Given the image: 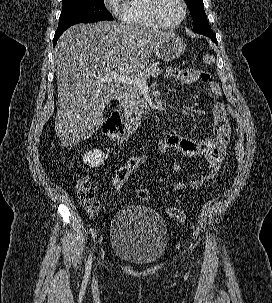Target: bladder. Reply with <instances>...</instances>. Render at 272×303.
I'll return each instance as SVG.
<instances>
[{
	"label": "bladder",
	"instance_id": "obj_1",
	"mask_svg": "<svg viewBox=\"0 0 272 303\" xmlns=\"http://www.w3.org/2000/svg\"><path fill=\"white\" fill-rule=\"evenodd\" d=\"M113 254L136 266L157 263L168 245V230L156 210L143 205H127L119 209L110 224Z\"/></svg>",
	"mask_w": 272,
	"mask_h": 303
}]
</instances>
